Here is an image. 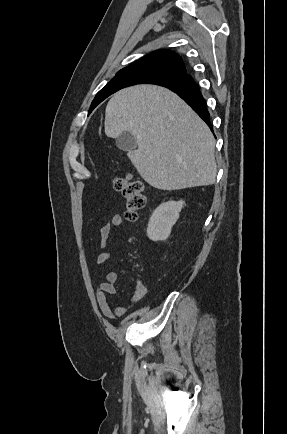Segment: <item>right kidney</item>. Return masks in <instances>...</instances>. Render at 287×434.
Listing matches in <instances>:
<instances>
[{
  "instance_id": "right-kidney-1",
  "label": "right kidney",
  "mask_w": 287,
  "mask_h": 434,
  "mask_svg": "<svg viewBox=\"0 0 287 434\" xmlns=\"http://www.w3.org/2000/svg\"><path fill=\"white\" fill-rule=\"evenodd\" d=\"M185 202L168 201L162 203L153 212L147 227V236L152 241H165L171 233L173 225L179 218Z\"/></svg>"
}]
</instances>
